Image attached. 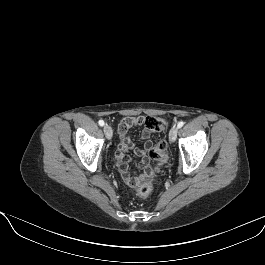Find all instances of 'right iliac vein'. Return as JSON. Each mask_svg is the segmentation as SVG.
Masks as SVG:
<instances>
[{"label": "right iliac vein", "mask_w": 265, "mask_h": 265, "mask_svg": "<svg viewBox=\"0 0 265 265\" xmlns=\"http://www.w3.org/2000/svg\"><path fill=\"white\" fill-rule=\"evenodd\" d=\"M103 130H104L106 138L111 139L112 135H113V131H112L111 126L105 125Z\"/></svg>", "instance_id": "right-iliac-vein-1"}]
</instances>
